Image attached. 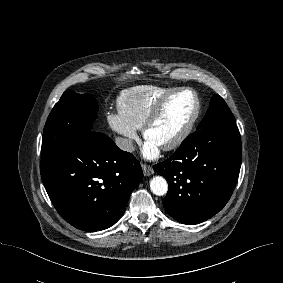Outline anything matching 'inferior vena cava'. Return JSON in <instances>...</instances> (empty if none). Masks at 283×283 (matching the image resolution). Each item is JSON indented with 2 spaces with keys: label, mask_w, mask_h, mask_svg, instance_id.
<instances>
[{
  "label": "inferior vena cava",
  "mask_w": 283,
  "mask_h": 283,
  "mask_svg": "<svg viewBox=\"0 0 283 283\" xmlns=\"http://www.w3.org/2000/svg\"><path fill=\"white\" fill-rule=\"evenodd\" d=\"M115 143L123 151L132 152L135 149L131 139L117 137Z\"/></svg>",
  "instance_id": "obj_1"
}]
</instances>
